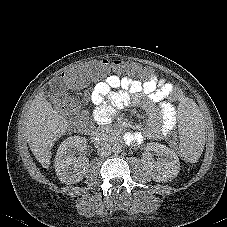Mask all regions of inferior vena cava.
<instances>
[{"instance_id":"inferior-vena-cava-1","label":"inferior vena cava","mask_w":227,"mask_h":227,"mask_svg":"<svg viewBox=\"0 0 227 227\" xmlns=\"http://www.w3.org/2000/svg\"><path fill=\"white\" fill-rule=\"evenodd\" d=\"M97 152L100 157H107L111 154L112 148L108 143H102Z\"/></svg>"}]
</instances>
